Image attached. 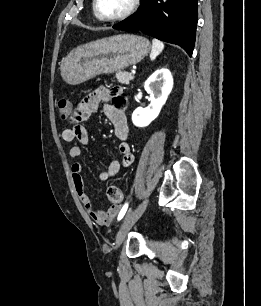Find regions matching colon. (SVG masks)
Instances as JSON below:
<instances>
[{
  "label": "colon",
  "mask_w": 261,
  "mask_h": 306,
  "mask_svg": "<svg viewBox=\"0 0 261 306\" xmlns=\"http://www.w3.org/2000/svg\"><path fill=\"white\" fill-rule=\"evenodd\" d=\"M58 114L60 119L65 120L71 112V103L67 98H61L57 104ZM108 199L113 203H120L123 200L122 191L115 186H110L107 189Z\"/></svg>",
  "instance_id": "1"
}]
</instances>
